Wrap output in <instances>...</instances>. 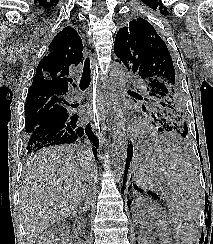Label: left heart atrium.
I'll use <instances>...</instances> for the list:
<instances>
[{
    "label": "left heart atrium",
    "instance_id": "1",
    "mask_svg": "<svg viewBox=\"0 0 213 244\" xmlns=\"http://www.w3.org/2000/svg\"><path fill=\"white\" fill-rule=\"evenodd\" d=\"M99 114V104L91 103L85 108V116L94 118Z\"/></svg>",
    "mask_w": 213,
    "mask_h": 244
}]
</instances>
